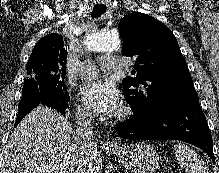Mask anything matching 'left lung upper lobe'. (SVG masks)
I'll return each instance as SVG.
<instances>
[{"label":"left lung upper lobe","instance_id":"left-lung-upper-lobe-1","mask_svg":"<svg viewBox=\"0 0 219 173\" xmlns=\"http://www.w3.org/2000/svg\"><path fill=\"white\" fill-rule=\"evenodd\" d=\"M122 52L136 59L135 77L123 79L125 99L136 115L147 116L162 108L198 99L187 63L167 26L143 13L119 23Z\"/></svg>","mask_w":219,"mask_h":173}]
</instances>
